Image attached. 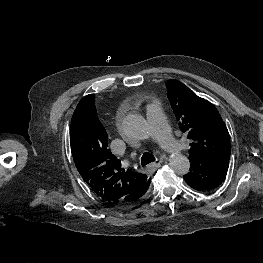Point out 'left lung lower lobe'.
<instances>
[{
	"label": "left lung lower lobe",
	"mask_w": 263,
	"mask_h": 263,
	"mask_svg": "<svg viewBox=\"0 0 263 263\" xmlns=\"http://www.w3.org/2000/svg\"><path fill=\"white\" fill-rule=\"evenodd\" d=\"M190 164V171L184 175V180L190 187L198 191H211L217 188L225 180L229 166L227 161L211 164L191 161Z\"/></svg>",
	"instance_id": "obj_1"
}]
</instances>
